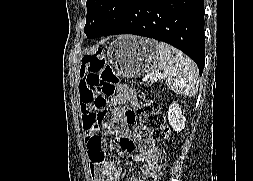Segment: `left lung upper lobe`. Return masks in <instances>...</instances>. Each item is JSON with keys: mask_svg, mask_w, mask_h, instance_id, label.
Returning a JSON list of instances; mask_svg holds the SVG:
<instances>
[{"mask_svg": "<svg viewBox=\"0 0 253 181\" xmlns=\"http://www.w3.org/2000/svg\"><path fill=\"white\" fill-rule=\"evenodd\" d=\"M132 0H87L85 33L88 38L102 35L122 16Z\"/></svg>", "mask_w": 253, "mask_h": 181, "instance_id": "1", "label": "left lung upper lobe"}]
</instances>
